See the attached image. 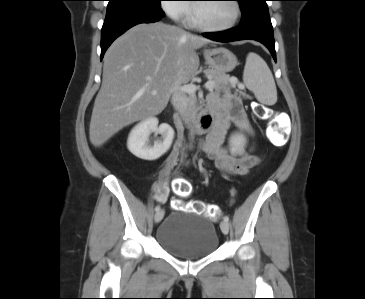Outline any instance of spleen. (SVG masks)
<instances>
[{
	"label": "spleen",
	"instance_id": "1",
	"mask_svg": "<svg viewBox=\"0 0 365 299\" xmlns=\"http://www.w3.org/2000/svg\"><path fill=\"white\" fill-rule=\"evenodd\" d=\"M243 82L256 99L265 105H274L277 101L275 81L267 63L256 53L250 52L246 58Z\"/></svg>",
	"mask_w": 365,
	"mask_h": 299
}]
</instances>
